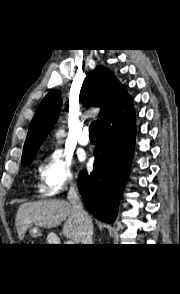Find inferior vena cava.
<instances>
[{
    "mask_svg": "<svg viewBox=\"0 0 180 294\" xmlns=\"http://www.w3.org/2000/svg\"><path fill=\"white\" fill-rule=\"evenodd\" d=\"M67 198L72 204L74 213L78 221L80 243L83 245L92 244V236H93L92 219L82 206L81 200L78 196V190L75 184L71 185Z\"/></svg>",
    "mask_w": 180,
    "mask_h": 294,
    "instance_id": "obj_1",
    "label": "inferior vena cava"
}]
</instances>
